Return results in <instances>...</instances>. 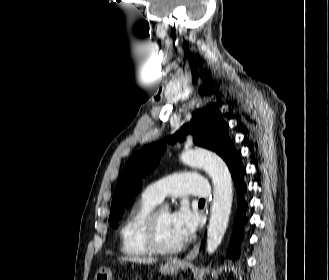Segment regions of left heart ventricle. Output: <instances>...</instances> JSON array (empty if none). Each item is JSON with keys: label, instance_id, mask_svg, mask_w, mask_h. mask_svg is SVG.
<instances>
[{"label": "left heart ventricle", "instance_id": "obj_1", "mask_svg": "<svg viewBox=\"0 0 329 280\" xmlns=\"http://www.w3.org/2000/svg\"><path fill=\"white\" fill-rule=\"evenodd\" d=\"M157 232L160 243L164 246H175L181 241L177 237L167 209H162L157 220Z\"/></svg>", "mask_w": 329, "mask_h": 280}]
</instances>
